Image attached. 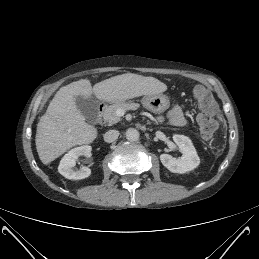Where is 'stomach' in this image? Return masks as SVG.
<instances>
[{
    "label": "stomach",
    "instance_id": "obj_1",
    "mask_svg": "<svg viewBox=\"0 0 259 259\" xmlns=\"http://www.w3.org/2000/svg\"><path fill=\"white\" fill-rule=\"evenodd\" d=\"M122 103L124 101H115ZM143 106L155 113L163 112L169 107V98L164 94L145 95L141 100Z\"/></svg>",
    "mask_w": 259,
    "mask_h": 259
}]
</instances>
